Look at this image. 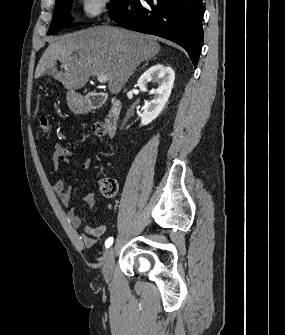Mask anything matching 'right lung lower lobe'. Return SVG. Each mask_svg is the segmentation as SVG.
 <instances>
[{"label": "right lung lower lobe", "instance_id": "right-lung-lower-lobe-1", "mask_svg": "<svg viewBox=\"0 0 285 335\" xmlns=\"http://www.w3.org/2000/svg\"><path fill=\"white\" fill-rule=\"evenodd\" d=\"M109 15L127 29L179 44L196 68L203 44L202 0H119Z\"/></svg>", "mask_w": 285, "mask_h": 335}]
</instances>
